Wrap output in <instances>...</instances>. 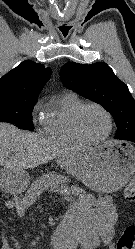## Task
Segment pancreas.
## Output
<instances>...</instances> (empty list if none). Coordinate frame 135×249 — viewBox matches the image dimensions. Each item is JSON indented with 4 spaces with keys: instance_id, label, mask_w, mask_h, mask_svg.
I'll list each match as a JSON object with an SVG mask.
<instances>
[{
    "instance_id": "obj_1",
    "label": "pancreas",
    "mask_w": 135,
    "mask_h": 249,
    "mask_svg": "<svg viewBox=\"0 0 135 249\" xmlns=\"http://www.w3.org/2000/svg\"><path fill=\"white\" fill-rule=\"evenodd\" d=\"M64 188H67L65 185H61V186H54L51 188V192H62V190ZM69 189V192H71L72 194H75L77 195L80 199H84V198H87L89 197V195L81 188L79 187H70L68 188Z\"/></svg>"
}]
</instances>
